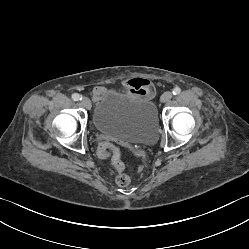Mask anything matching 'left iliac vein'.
<instances>
[{"label": "left iliac vein", "mask_w": 249, "mask_h": 249, "mask_svg": "<svg viewBox=\"0 0 249 249\" xmlns=\"http://www.w3.org/2000/svg\"><path fill=\"white\" fill-rule=\"evenodd\" d=\"M172 96H173L172 92L167 91L161 96V101L168 102L172 98Z\"/></svg>", "instance_id": "4c4485c4"}]
</instances>
